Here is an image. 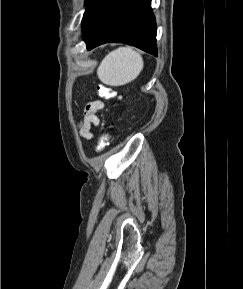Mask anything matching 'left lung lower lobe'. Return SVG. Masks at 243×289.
Wrapping results in <instances>:
<instances>
[{
  "instance_id": "obj_1",
  "label": "left lung lower lobe",
  "mask_w": 243,
  "mask_h": 289,
  "mask_svg": "<svg viewBox=\"0 0 243 289\" xmlns=\"http://www.w3.org/2000/svg\"><path fill=\"white\" fill-rule=\"evenodd\" d=\"M87 49L122 42L157 56L151 0H90L82 19Z\"/></svg>"
}]
</instances>
